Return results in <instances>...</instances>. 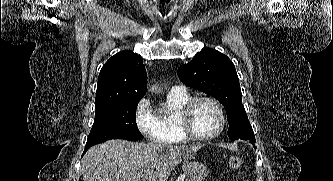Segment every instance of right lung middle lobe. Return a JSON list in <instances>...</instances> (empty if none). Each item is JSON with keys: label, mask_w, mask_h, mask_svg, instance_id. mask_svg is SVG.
<instances>
[{"label": "right lung middle lobe", "mask_w": 333, "mask_h": 181, "mask_svg": "<svg viewBox=\"0 0 333 181\" xmlns=\"http://www.w3.org/2000/svg\"><path fill=\"white\" fill-rule=\"evenodd\" d=\"M139 100L95 109V119L85 147L110 139L140 140L143 138L136 120Z\"/></svg>", "instance_id": "1"}]
</instances>
